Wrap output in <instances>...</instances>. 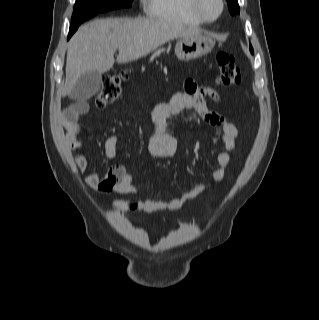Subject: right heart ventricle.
<instances>
[{"label":"right heart ventricle","instance_id":"right-heart-ventricle-1","mask_svg":"<svg viewBox=\"0 0 319 320\" xmlns=\"http://www.w3.org/2000/svg\"><path fill=\"white\" fill-rule=\"evenodd\" d=\"M146 9L150 17L187 26H200L189 7V0H146Z\"/></svg>","mask_w":319,"mask_h":320}]
</instances>
